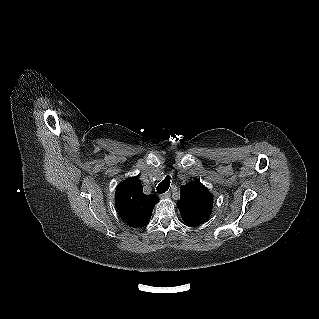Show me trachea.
<instances>
[{
	"mask_svg": "<svg viewBox=\"0 0 319 319\" xmlns=\"http://www.w3.org/2000/svg\"><path fill=\"white\" fill-rule=\"evenodd\" d=\"M170 179V176H166V178L158 184L156 190L159 194H163L169 189Z\"/></svg>",
	"mask_w": 319,
	"mask_h": 319,
	"instance_id": "trachea-1",
	"label": "trachea"
}]
</instances>
